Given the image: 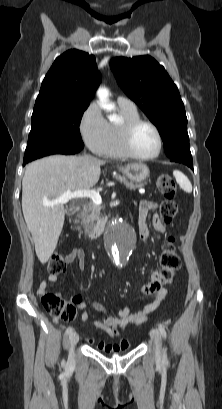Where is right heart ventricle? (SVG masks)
I'll return each instance as SVG.
<instances>
[{
	"label": "right heart ventricle",
	"mask_w": 222,
	"mask_h": 409,
	"mask_svg": "<svg viewBox=\"0 0 222 409\" xmlns=\"http://www.w3.org/2000/svg\"><path fill=\"white\" fill-rule=\"evenodd\" d=\"M118 108L123 121L119 124H109V140L101 152L102 155L111 158L127 157L120 145V128L124 122L140 118L139 112L136 108H127L120 105H118Z\"/></svg>",
	"instance_id": "1"
}]
</instances>
